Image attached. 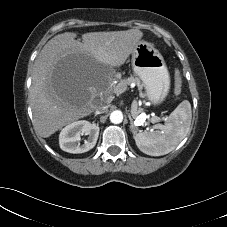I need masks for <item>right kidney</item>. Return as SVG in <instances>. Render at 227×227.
Returning <instances> with one entry per match:
<instances>
[{"label":"right kidney","instance_id":"ca27d5eb","mask_svg":"<svg viewBox=\"0 0 227 227\" xmlns=\"http://www.w3.org/2000/svg\"><path fill=\"white\" fill-rule=\"evenodd\" d=\"M88 135L84 144H80V136ZM99 136V126L86 120L73 122L62 129L59 135L60 148L69 153H84L92 149Z\"/></svg>","mask_w":227,"mask_h":227}]
</instances>
